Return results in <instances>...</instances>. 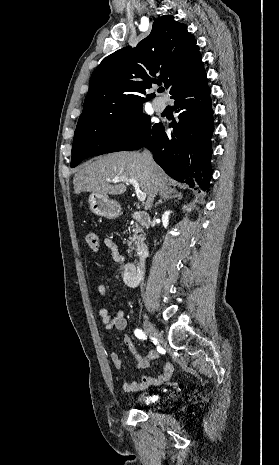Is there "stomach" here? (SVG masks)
<instances>
[{
    "label": "stomach",
    "instance_id": "stomach-1",
    "mask_svg": "<svg viewBox=\"0 0 279 465\" xmlns=\"http://www.w3.org/2000/svg\"><path fill=\"white\" fill-rule=\"evenodd\" d=\"M88 202L90 210L97 216L113 219L120 215V204L115 200L109 199L107 195L91 193Z\"/></svg>",
    "mask_w": 279,
    "mask_h": 465
}]
</instances>
